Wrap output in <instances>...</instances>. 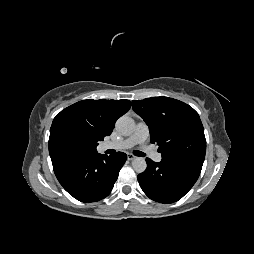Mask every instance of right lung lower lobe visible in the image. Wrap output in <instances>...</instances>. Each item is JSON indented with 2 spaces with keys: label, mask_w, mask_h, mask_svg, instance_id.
Listing matches in <instances>:
<instances>
[{
  "label": "right lung lower lobe",
  "mask_w": 254,
  "mask_h": 254,
  "mask_svg": "<svg viewBox=\"0 0 254 254\" xmlns=\"http://www.w3.org/2000/svg\"><path fill=\"white\" fill-rule=\"evenodd\" d=\"M127 156L62 153L51 157L55 175L62 187L82 202L99 201L110 194Z\"/></svg>",
  "instance_id": "98d812e1"
}]
</instances>
